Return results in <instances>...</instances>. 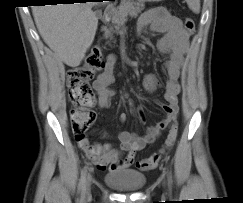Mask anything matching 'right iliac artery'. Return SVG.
<instances>
[{
  "label": "right iliac artery",
  "mask_w": 243,
  "mask_h": 203,
  "mask_svg": "<svg viewBox=\"0 0 243 203\" xmlns=\"http://www.w3.org/2000/svg\"><path fill=\"white\" fill-rule=\"evenodd\" d=\"M86 175H87V170H86V168H84L81 172V177H80V182H79V188L82 191L81 195H83V193L85 191Z\"/></svg>",
  "instance_id": "1"
}]
</instances>
